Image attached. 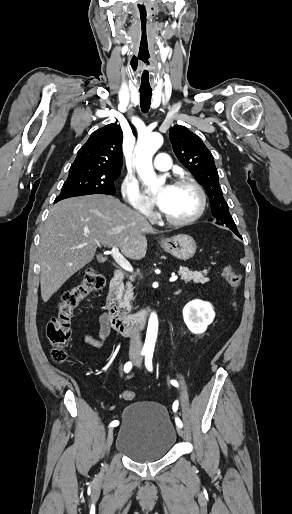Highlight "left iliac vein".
Returning a JSON list of instances; mask_svg holds the SVG:
<instances>
[{"label":"left iliac vein","mask_w":292,"mask_h":514,"mask_svg":"<svg viewBox=\"0 0 292 514\" xmlns=\"http://www.w3.org/2000/svg\"><path fill=\"white\" fill-rule=\"evenodd\" d=\"M136 365H137L138 367H140V366H141V360H138V361L136 362ZM176 430H177V433H178V435H179V436H181V437H183V436H184V431H183V429H182V428L177 427V429H176Z\"/></svg>","instance_id":"1"}]
</instances>
